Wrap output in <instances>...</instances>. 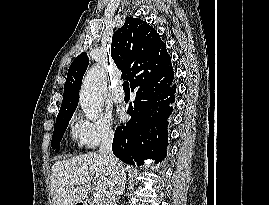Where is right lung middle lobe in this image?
<instances>
[{
	"label": "right lung middle lobe",
	"mask_w": 269,
	"mask_h": 205,
	"mask_svg": "<svg viewBox=\"0 0 269 205\" xmlns=\"http://www.w3.org/2000/svg\"><path fill=\"white\" fill-rule=\"evenodd\" d=\"M71 117L72 114L56 119L51 145L52 148L57 152L59 151V143L63 137Z\"/></svg>",
	"instance_id": "right-lung-middle-lobe-1"
}]
</instances>
